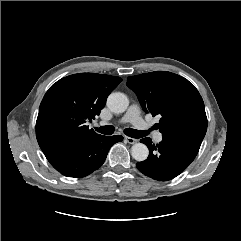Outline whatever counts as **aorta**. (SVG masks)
<instances>
[{"label":"aorta","mask_w":241,"mask_h":241,"mask_svg":"<svg viewBox=\"0 0 241 241\" xmlns=\"http://www.w3.org/2000/svg\"><path fill=\"white\" fill-rule=\"evenodd\" d=\"M129 105L127 96L121 92L111 93L107 99V106L115 113L124 112ZM131 155L136 161H144L149 155L147 146L143 143H136L131 148Z\"/></svg>","instance_id":"1"}]
</instances>
